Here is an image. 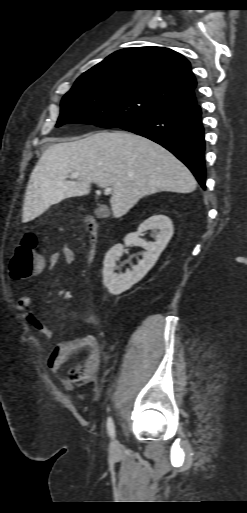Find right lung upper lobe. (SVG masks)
Wrapping results in <instances>:
<instances>
[{
    "mask_svg": "<svg viewBox=\"0 0 247 513\" xmlns=\"http://www.w3.org/2000/svg\"><path fill=\"white\" fill-rule=\"evenodd\" d=\"M81 88H118L136 92L168 108L196 102L190 62L174 50L137 47L118 50L75 82Z\"/></svg>",
    "mask_w": 247,
    "mask_h": 513,
    "instance_id": "obj_1",
    "label": "right lung upper lobe"
}]
</instances>
